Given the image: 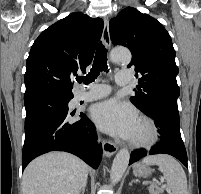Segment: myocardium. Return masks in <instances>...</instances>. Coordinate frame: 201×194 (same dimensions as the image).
I'll return each mask as SVG.
<instances>
[{
  "mask_svg": "<svg viewBox=\"0 0 201 194\" xmlns=\"http://www.w3.org/2000/svg\"><path fill=\"white\" fill-rule=\"evenodd\" d=\"M138 123L145 130V137L142 139H131L130 145L134 148H150L158 140V130L154 122L148 117L141 116L138 119Z\"/></svg>",
  "mask_w": 201,
  "mask_h": 194,
  "instance_id": "f54148a6",
  "label": "myocardium"
}]
</instances>
